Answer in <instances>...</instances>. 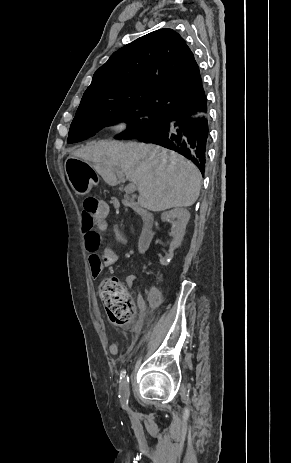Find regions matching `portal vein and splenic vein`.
I'll use <instances>...</instances> for the list:
<instances>
[{
  "label": "portal vein and splenic vein",
  "mask_w": 291,
  "mask_h": 463,
  "mask_svg": "<svg viewBox=\"0 0 291 463\" xmlns=\"http://www.w3.org/2000/svg\"><path fill=\"white\" fill-rule=\"evenodd\" d=\"M117 176H118L120 179H124V175H123L122 172H119V171H118V172H117ZM135 191H136V187H135V185H134L133 183H130V184L126 185V187H125V192H126L127 194H132V193H134Z\"/></svg>",
  "instance_id": "obj_1"
}]
</instances>
